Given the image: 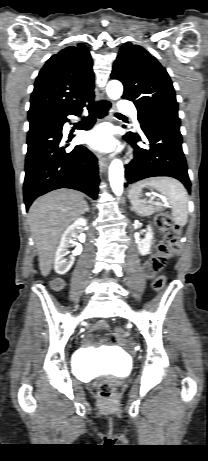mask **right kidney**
Here are the masks:
<instances>
[{"mask_svg":"<svg viewBox=\"0 0 208 461\" xmlns=\"http://www.w3.org/2000/svg\"><path fill=\"white\" fill-rule=\"evenodd\" d=\"M86 225H87L86 218H83V217L78 218L77 220H75L73 224L68 226V228L62 234L60 244L55 253L54 269L57 274L59 275L66 274L74 263V260H75L74 256L81 254L82 246L78 245L73 251V254L70 256L69 260L65 258V256L68 255L70 252L68 248L71 247V244L76 238L77 229L80 226L85 227Z\"/></svg>","mask_w":208,"mask_h":461,"instance_id":"obj_1","label":"right kidney"}]
</instances>
